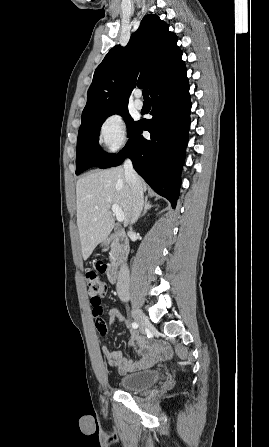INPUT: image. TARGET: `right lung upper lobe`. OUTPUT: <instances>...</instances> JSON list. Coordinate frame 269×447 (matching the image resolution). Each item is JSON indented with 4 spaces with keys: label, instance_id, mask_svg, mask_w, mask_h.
Wrapping results in <instances>:
<instances>
[{
    "label": "right lung upper lobe",
    "instance_id": "right-lung-upper-lobe-1",
    "mask_svg": "<svg viewBox=\"0 0 269 447\" xmlns=\"http://www.w3.org/2000/svg\"><path fill=\"white\" fill-rule=\"evenodd\" d=\"M177 36L157 15L143 17L126 47L117 45L95 70L82 113L81 127L118 109L127 108L136 86L150 89L184 65Z\"/></svg>",
    "mask_w": 269,
    "mask_h": 447
}]
</instances>
